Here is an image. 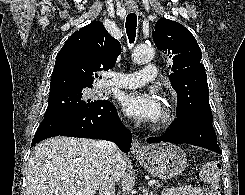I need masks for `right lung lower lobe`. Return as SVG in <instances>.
<instances>
[{
	"instance_id": "1",
	"label": "right lung lower lobe",
	"mask_w": 245,
	"mask_h": 195,
	"mask_svg": "<svg viewBox=\"0 0 245 195\" xmlns=\"http://www.w3.org/2000/svg\"><path fill=\"white\" fill-rule=\"evenodd\" d=\"M58 135L113 141L123 152L130 150L132 141L131 132L122 125L109 100L45 117L35 133L32 146Z\"/></svg>"
}]
</instances>
